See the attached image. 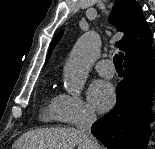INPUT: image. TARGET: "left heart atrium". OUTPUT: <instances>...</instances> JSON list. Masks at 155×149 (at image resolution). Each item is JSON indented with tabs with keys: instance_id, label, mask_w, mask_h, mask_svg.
Returning <instances> with one entry per match:
<instances>
[{
	"instance_id": "left-heart-atrium-1",
	"label": "left heart atrium",
	"mask_w": 155,
	"mask_h": 149,
	"mask_svg": "<svg viewBox=\"0 0 155 149\" xmlns=\"http://www.w3.org/2000/svg\"><path fill=\"white\" fill-rule=\"evenodd\" d=\"M88 100L94 109L103 113L107 111L115 101L114 88L108 82L102 80L95 81L89 89Z\"/></svg>"
}]
</instances>
